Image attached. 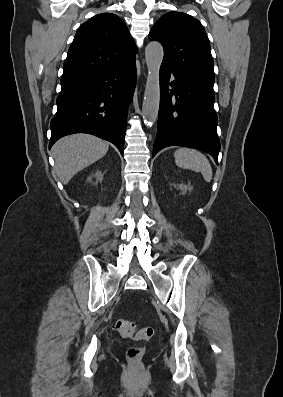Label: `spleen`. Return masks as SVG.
<instances>
[{"instance_id":"obj_1","label":"spleen","mask_w":283,"mask_h":397,"mask_svg":"<svg viewBox=\"0 0 283 397\" xmlns=\"http://www.w3.org/2000/svg\"><path fill=\"white\" fill-rule=\"evenodd\" d=\"M175 163L177 166L190 169L195 172H201L206 182L212 180V168L209 160L198 150L190 148H180L174 153Z\"/></svg>"}]
</instances>
